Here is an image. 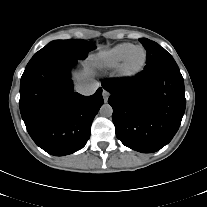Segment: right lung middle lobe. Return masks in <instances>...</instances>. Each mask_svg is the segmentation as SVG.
<instances>
[{"mask_svg": "<svg viewBox=\"0 0 207 207\" xmlns=\"http://www.w3.org/2000/svg\"><path fill=\"white\" fill-rule=\"evenodd\" d=\"M95 46L86 40H54L36 52L27 65L36 63L48 57L67 56L74 59H83Z\"/></svg>", "mask_w": 207, "mask_h": 207, "instance_id": "1", "label": "right lung middle lobe"}]
</instances>
